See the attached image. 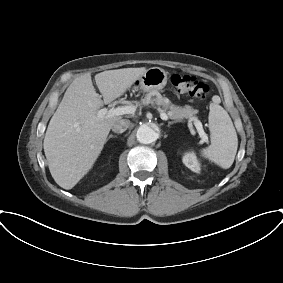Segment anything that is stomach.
<instances>
[{
    "label": "stomach",
    "mask_w": 283,
    "mask_h": 283,
    "mask_svg": "<svg viewBox=\"0 0 283 283\" xmlns=\"http://www.w3.org/2000/svg\"><path fill=\"white\" fill-rule=\"evenodd\" d=\"M168 73L160 67L149 68L135 83L134 89L154 92L163 89L167 84Z\"/></svg>",
    "instance_id": "1"
}]
</instances>
